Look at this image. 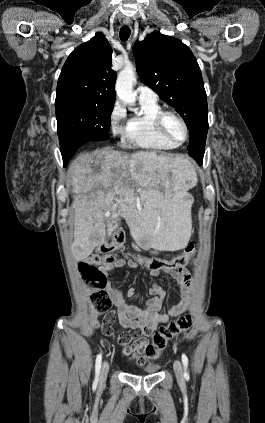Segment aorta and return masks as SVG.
Listing matches in <instances>:
<instances>
[{
    "mask_svg": "<svg viewBox=\"0 0 265 423\" xmlns=\"http://www.w3.org/2000/svg\"><path fill=\"white\" fill-rule=\"evenodd\" d=\"M136 81L135 69L132 65H126L120 71L115 90L119 99L126 104H134L136 101V94L133 91V85Z\"/></svg>",
    "mask_w": 265,
    "mask_h": 423,
    "instance_id": "1",
    "label": "aorta"
}]
</instances>
